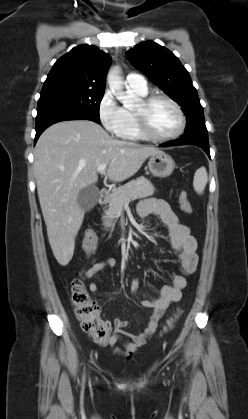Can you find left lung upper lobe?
Returning a JSON list of instances; mask_svg holds the SVG:
<instances>
[{
    "mask_svg": "<svg viewBox=\"0 0 248 419\" xmlns=\"http://www.w3.org/2000/svg\"><path fill=\"white\" fill-rule=\"evenodd\" d=\"M126 57L182 107L187 120L185 132L206 127L197 90L188 71L171 51L153 41H145L127 51Z\"/></svg>",
    "mask_w": 248,
    "mask_h": 419,
    "instance_id": "obj_1",
    "label": "left lung upper lobe"
}]
</instances>
